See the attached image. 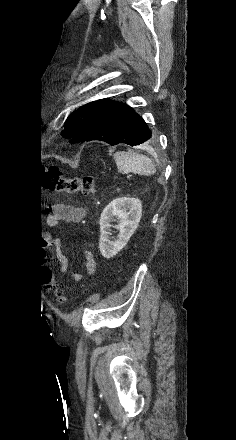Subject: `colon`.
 I'll use <instances>...</instances> for the list:
<instances>
[{
  "label": "colon",
  "instance_id": "5ec220e1",
  "mask_svg": "<svg viewBox=\"0 0 236 440\" xmlns=\"http://www.w3.org/2000/svg\"><path fill=\"white\" fill-rule=\"evenodd\" d=\"M43 178L45 187L49 191L66 192L82 197H90L96 192L95 181L92 176L66 178L62 175L61 169L54 164H50L45 168ZM44 283L60 304L67 302L61 289L56 286L59 283L58 276H45Z\"/></svg>",
  "mask_w": 236,
  "mask_h": 440
}]
</instances>
